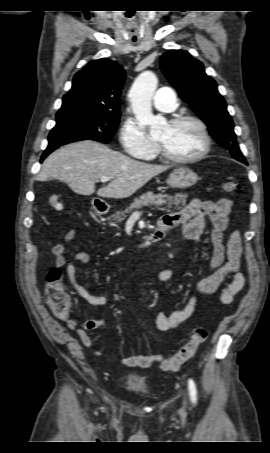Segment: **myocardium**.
Here are the masks:
<instances>
[{"instance_id": "1", "label": "myocardium", "mask_w": 270, "mask_h": 453, "mask_svg": "<svg viewBox=\"0 0 270 453\" xmlns=\"http://www.w3.org/2000/svg\"><path fill=\"white\" fill-rule=\"evenodd\" d=\"M184 122H192L198 126L203 137V148L195 155L187 157H176L168 153L163 144L157 141L158 153L166 161L175 164L193 163L204 158L211 149V137L207 125L202 119L193 115H178L168 120L169 125H178Z\"/></svg>"}]
</instances>
